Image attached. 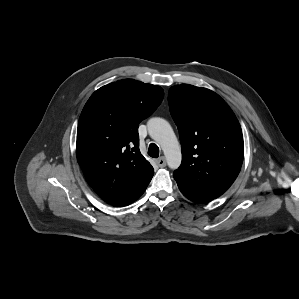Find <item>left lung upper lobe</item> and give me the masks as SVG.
Instances as JSON below:
<instances>
[{
    "mask_svg": "<svg viewBox=\"0 0 299 299\" xmlns=\"http://www.w3.org/2000/svg\"><path fill=\"white\" fill-rule=\"evenodd\" d=\"M168 101L182 146L174 179L200 194L221 196L243 162V135L235 114L215 92L188 84L171 87Z\"/></svg>",
    "mask_w": 299,
    "mask_h": 299,
    "instance_id": "1",
    "label": "left lung upper lobe"
}]
</instances>
